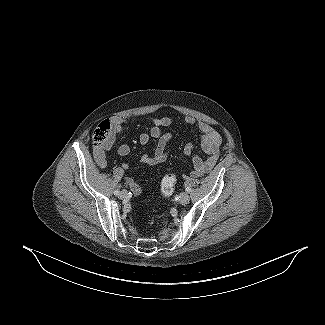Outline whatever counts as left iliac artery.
Returning a JSON list of instances; mask_svg holds the SVG:
<instances>
[{
    "label": "left iliac artery",
    "mask_w": 325,
    "mask_h": 325,
    "mask_svg": "<svg viewBox=\"0 0 325 325\" xmlns=\"http://www.w3.org/2000/svg\"><path fill=\"white\" fill-rule=\"evenodd\" d=\"M185 190H186V192L189 193L191 189L189 187H187Z\"/></svg>",
    "instance_id": "left-iliac-artery-1"
}]
</instances>
